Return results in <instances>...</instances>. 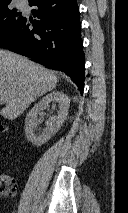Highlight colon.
<instances>
[{"label":"colon","mask_w":128,"mask_h":213,"mask_svg":"<svg viewBox=\"0 0 128 213\" xmlns=\"http://www.w3.org/2000/svg\"><path fill=\"white\" fill-rule=\"evenodd\" d=\"M5 131V127L0 125V132ZM15 192V183L14 180L6 175H0V194L4 196L12 195Z\"/></svg>","instance_id":"colon-1"}]
</instances>
